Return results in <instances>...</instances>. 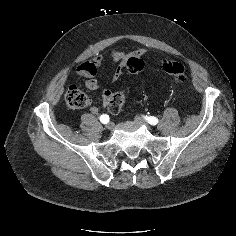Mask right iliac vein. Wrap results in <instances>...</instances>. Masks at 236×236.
I'll list each match as a JSON object with an SVG mask.
<instances>
[{
    "label": "right iliac vein",
    "instance_id": "63e3f726",
    "mask_svg": "<svg viewBox=\"0 0 236 236\" xmlns=\"http://www.w3.org/2000/svg\"><path fill=\"white\" fill-rule=\"evenodd\" d=\"M105 127H106L107 130H111L113 128V123L109 122V123L106 124Z\"/></svg>",
    "mask_w": 236,
    "mask_h": 236
}]
</instances>
